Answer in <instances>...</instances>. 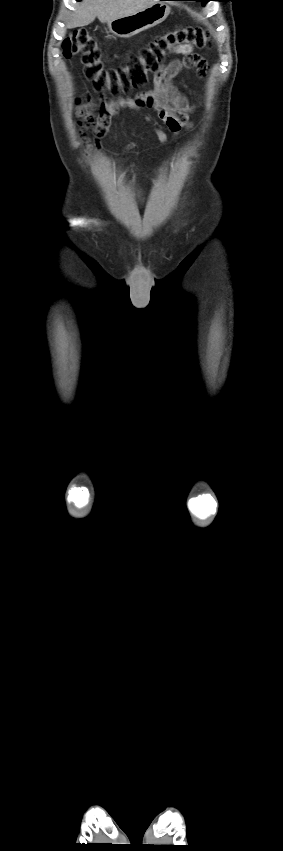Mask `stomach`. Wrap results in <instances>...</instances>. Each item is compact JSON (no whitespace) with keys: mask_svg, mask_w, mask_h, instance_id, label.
I'll return each instance as SVG.
<instances>
[{"mask_svg":"<svg viewBox=\"0 0 283 851\" xmlns=\"http://www.w3.org/2000/svg\"><path fill=\"white\" fill-rule=\"evenodd\" d=\"M170 7L156 0L151 6L132 15L108 23L109 31L119 38H130L142 31L162 23L170 14Z\"/></svg>","mask_w":283,"mask_h":851,"instance_id":"1","label":"stomach"}]
</instances>
